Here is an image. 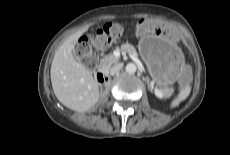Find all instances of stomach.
I'll list each match as a JSON object with an SVG mask.
<instances>
[{
    "label": "stomach",
    "mask_w": 230,
    "mask_h": 155,
    "mask_svg": "<svg viewBox=\"0 0 230 155\" xmlns=\"http://www.w3.org/2000/svg\"><path fill=\"white\" fill-rule=\"evenodd\" d=\"M139 53L157 87L162 91L174 84L184 67L181 49L165 41L162 35H146L138 44Z\"/></svg>",
    "instance_id": "1"
}]
</instances>
